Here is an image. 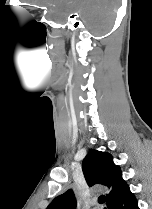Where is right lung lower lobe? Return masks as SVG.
<instances>
[{
    "mask_svg": "<svg viewBox=\"0 0 152 209\" xmlns=\"http://www.w3.org/2000/svg\"><path fill=\"white\" fill-rule=\"evenodd\" d=\"M109 209H139L137 200L127 186L109 205Z\"/></svg>",
    "mask_w": 152,
    "mask_h": 209,
    "instance_id": "obj_1",
    "label": "right lung lower lobe"
}]
</instances>
